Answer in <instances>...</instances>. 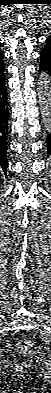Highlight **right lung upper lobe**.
<instances>
[{
	"instance_id": "cb5924a9",
	"label": "right lung upper lobe",
	"mask_w": 51,
	"mask_h": 393,
	"mask_svg": "<svg viewBox=\"0 0 51 393\" xmlns=\"http://www.w3.org/2000/svg\"><path fill=\"white\" fill-rule=\"evenodd\" d=\"M3 53L0 50V72L5 68L4 61H3Z\"/></svg>"
}]
</instances>
